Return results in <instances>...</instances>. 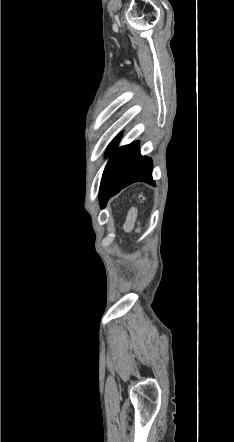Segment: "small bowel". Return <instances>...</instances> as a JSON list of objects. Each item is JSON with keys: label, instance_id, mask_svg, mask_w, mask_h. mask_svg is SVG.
<instances>
[{"label": "small bowel", "instance_id": "obj_1", "mask_svg": "<svg viewBox=\"0 0 234 442\" xmlns=\"http://www.w3.org/2000/svg\"><path fill=\"white\" fill-rule=\"evenodd\" d=\"M136 221H137V210L135 208H132L130 209L127 215V219L124 225L125 230L130 231L134 227Z\"/></svg>", "mask_w": 234, "mask_h": 442}]
</instances>
